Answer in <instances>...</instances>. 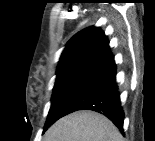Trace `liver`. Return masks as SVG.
<instances>
[{
  "instance_id": "6515ba94",
  "label": "liver",
  "mask_w": 155,
  "mask_h": 141,
  "mask_svg": "<svg viewBox=\"0 0 155 141\" xmlns=\"http://www.w3.org/2000/svg\"><path fill=\"white\" fill-rule=\"evenodd\" d=\"M45 141H123V137L105 116L83 110L59 119L46 132Z\"/></svg>"
}]
</instances>
